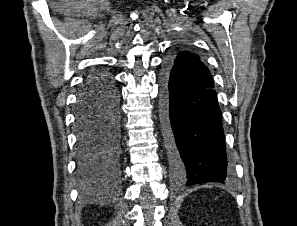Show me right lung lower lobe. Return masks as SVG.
Listing matches in <instances>:
<instances>
[{"label":"right lung lower lobe","instance_id":"1","mask_svg":"<svg viewBox=\"0 0 297 226\" xmlns=\"http://www.w3.org/2000/svg\"><path fill=\"white\" fill-rule=\"evenodd\" d=\"M77 174L89 191L120 176V97L112 76L99 70L84 82L75 114Z\"/></svg>","mask_w":297,"mask_h":226}]
</instances>
